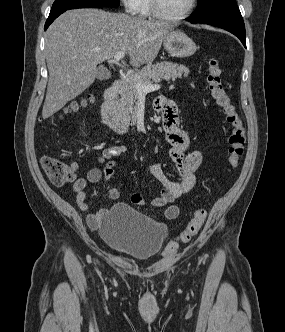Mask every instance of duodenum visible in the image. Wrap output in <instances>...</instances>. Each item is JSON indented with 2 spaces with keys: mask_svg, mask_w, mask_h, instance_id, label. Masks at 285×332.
Here are the masks:
<instances>
[{
  "mask_svg": "<svg viewBox=\"0 0 285 332\" xmlns=\"http://www.w3.org/2000/svg\"><path fill=\"white\" fill-rule=\"evenodd\" d=\"M122 82L120 79L114 81L104 92V101L101 105V115L104 123L119 134H124L128 127L121 120L116 108V99L120 92Z\"/></svg>",
  "mask_w": 285,
  "mask_h": 332,
  "instance_id": "obj_1",
  "label": "duodenum"
}]
</instances>
